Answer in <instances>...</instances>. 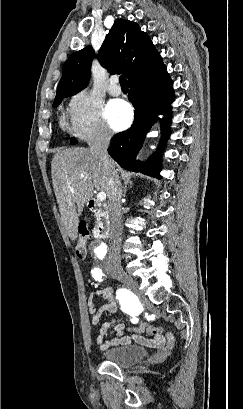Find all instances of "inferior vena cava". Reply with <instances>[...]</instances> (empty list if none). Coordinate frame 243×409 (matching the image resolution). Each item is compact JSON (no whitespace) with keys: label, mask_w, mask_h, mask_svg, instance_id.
<instances>
[{"label":"inferior vena cava","mask_w":243,"mask_h":409,"mask_svg":"<svg viewBox=\"0 0 243 409\" xmlns=\"http://www.w3.org/2000/svg\"><path fill=\"white\" fill-rule=\"evenodd\" d=\"M111 139V133L106 129L98 131L89 141V147L92 154L99 157L107 171V186H108V210H109V247L110 253L107 262L108 269L121 268L120 242L122 232V214H121V198L122 189L121 182L117 171L111 164L108 155V146Z\"/></svg>","instance_id":"1"}]
</instances>
